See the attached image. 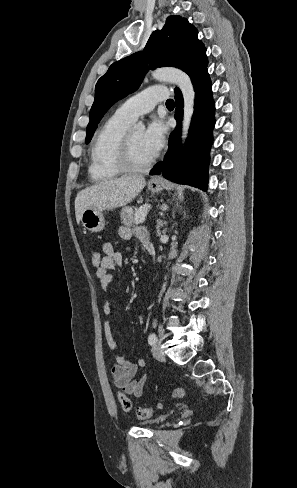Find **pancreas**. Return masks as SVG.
Masks as SVG:
<instances>
[{
	"label": "pancreas",
	"mask_w": 297,
	"mask_h": 488,
	"mask_svg": "<svg viewBox=\"0 0 297 488\" xmlns=\"http://www.w3.org/2000/svg\"><path fill=\"white\" fill-rule=\"evenodd\" d=\"M132 207H124L121 210L120 217H121V222L127 226H132L133 224H138L136 221V215H139L140 211L139 209H135V211L132 209Z\"/></svg>",
	"instance_id": "cf45deb5"
}]
</instances>
